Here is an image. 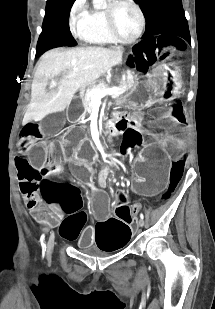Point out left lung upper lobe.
I'll return each instance as SVG.
<instances>
[{
	"mask_svg": "<svg viewBox=\"0 0 215 309\" xmlns=\"http://www.w3.org/2000/svg\"><path fill=\"white\" fill-rule=\"evenodd\" d=\"M146 18L142 38L177 35L190 43L188 23L181 0H136Z\"/></svg>",
	"mask_w": 215,
	"mask_h": 309,
	"instance_id": "5c2ea615",
	"label": "left lung upper lobe"
}]
</instances>
